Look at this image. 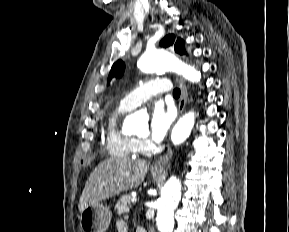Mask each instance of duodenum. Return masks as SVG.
Listing matches in <instances>:
<instances>
[{
    "mask_svg": "<svg viewBox=\"0 0 289 232\" xmlns=\"http://www.w3.org/2000/svg\"><path fill=\"white\" fill-rule=\"evenodd\" d=\"M136 232H147L144 228L139 227Z\"/></svg>",
    "mask_w": 289,
    "mask_h": 232,
    "instance_id": "410a0bca",
    "label": "duodenum"
}]
</instances>
